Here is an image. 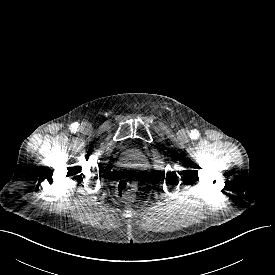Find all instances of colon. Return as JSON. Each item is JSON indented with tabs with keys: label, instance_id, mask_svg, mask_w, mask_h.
<instances>
[{
	"label": "colon",
	"instance_id": "5ec220e1",
	"mask_svg": "<svg viewBox=\"0 0 275 275\" xmlns=\"http://www.w3.org/2000/svg\"><path fill=\"white\" fill-rule=\"evenodd\" d=\"M136 184L134 181H121L117 185V194L123 201H132L135 196Z\"/></svg>",
	"mask_w": 275,
	"mask_h": 275
}]
</instances>
